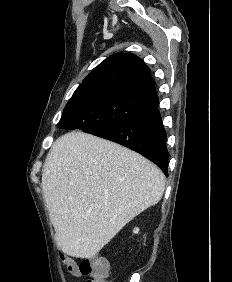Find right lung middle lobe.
<instances>
[{
    "mask_svg": "<svg viewBox=\"0 0 232 282\" xmlns=\"http://www.w3.org/2000/svg\"><path fill=\"white\" fill-rule=\"evenodd\" d=\"M156 108L145 93L133 90H106L72 97L60 119L61 129L90 132L112 127L147 115Z\"/></svg>",
    "mask_w": 232,
    "mask_h": 282,
    "instance_id": "obj_1",
    "label": "right lung middle lobe"
}]
</instances>
